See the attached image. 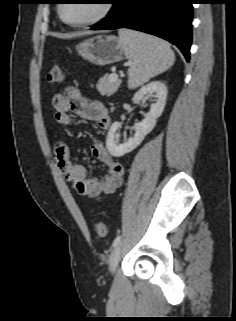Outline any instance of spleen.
Masks as SVG:
<instances>
[{
	"label": "spleen",
	"mask_w": 236,
	"mask_h": 321,
	"mask_svg": "<svg viewBox=\"0 0 236 321\" xmlns=\"http://www.w3.org/2000/svg\"><path fill=\"white\" fill-rule=\"evenodd\" d=\"M118 34L119 42L130 61V89L143 85L173 65L175 55L166 41L128 29H120Z\"/></svg>",
	"instance_id": "3e777b00"
}]
</instances>
